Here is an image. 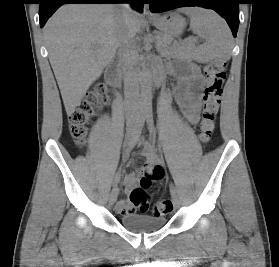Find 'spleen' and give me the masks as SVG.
Returning a JSON list of instances; mask_svg holds the SVG:
<instances>
[{"instance_id": "spleen-1", "label": "spleen", "mask_w": 279, "mask_h": 267, "mask_svg": "<svg viewBox=\"0 0 279 267\" xmlns=\"http://www.w3.org/2000/svg\"><path fill=\"white\" fill-rule=\"evenodd\" d=\"M190 17L192 30L205 42L192 50V57L200 63L215 57L229 59L233 47L232 36L226 22L216 12L201 7L179 10Z\"/></svg>"}]
</instances>
